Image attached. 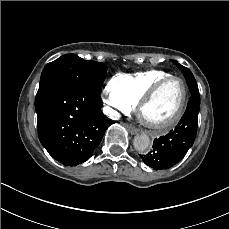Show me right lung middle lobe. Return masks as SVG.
Segmentation results:
<instances>
[{
  "mask_svg": "<svg viewBox=\"0 0 229 229\" xmlns=\"http://www.w3.org/2000/svg\"><path fill=\"white\" fill-rule=\"evenodd\" d=\"M106 71L107 66L103 63L87 61L75 54L63 55L44 67L36 99L51 87L64 82L79 83L101 92Z\"/></svg>",
  "mask_w": 229,
  "mask_h": 229,
  "instance_id": "obj_1",
  "label": "right lung middle lobe"
}]
</instances>
